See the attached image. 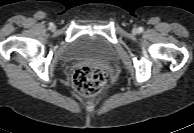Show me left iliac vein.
<instances>
[{"label": "left iliac vein", "mask_w": 194, "mask_h": 133, "mask_svg": "<svg viewBox=\"0 0 194 133\" xmlns=\"http://www.w3.org/2000/svg\"><path fill=\"white\" fill-rule=\"evenodd\" d=\"M134 34H136L137 32H138V30L137 29H133V31H132Z\"/></svg>", "instance_id": "4c4485c4"}]
</instances>
